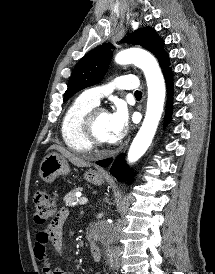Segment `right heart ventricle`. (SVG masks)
<instances>
[{
    "label": "right heart ventricle",
    "mask_w": 215,
    "mask_h": 274,
    "mask_svg": "<svg viewBox=\"0 0 215 274\" xmlns=\"http://www.w3.org/2000/svg\"><path fill=\"white\" fill-rule=\"evenodd\" d=\"M96 105L84 94L76 97L69 104L61 122V135L69 148L80 152H86L92 148L84 137L82 121L87 112Z\"/></svg>",
    "instance_id": "1"
}]
</instances>
